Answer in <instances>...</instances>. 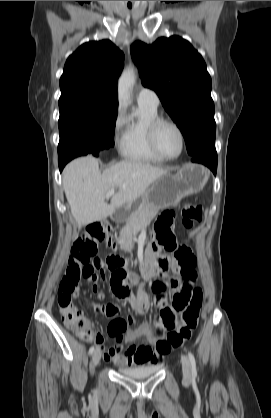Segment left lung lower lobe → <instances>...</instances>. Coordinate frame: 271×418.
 <instances>
[{
    "label": "left lung lower lobe",
    "mask_w": 271,
    "mask_h": 418,
    "mask_svg": "<svg viewBox=\"0 0 271 418\" xmlns=\"http://www.w3.org/2000/svg\"><path fill=\"white\" fill-rule=\"evenodd\" d=\"M192 161L206 165L213 171L214 174H216L217 153L215 149L203 152L197 156H193Z\"/></svg>",
    "instance_id": "0a47b994"
}]
</instances>
